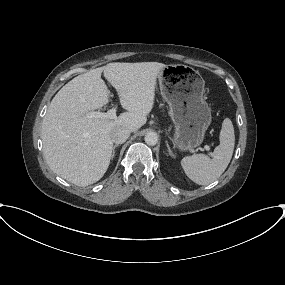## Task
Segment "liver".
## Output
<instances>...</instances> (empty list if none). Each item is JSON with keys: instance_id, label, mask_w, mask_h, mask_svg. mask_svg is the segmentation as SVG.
Returning <instances> with one entry per match:
<instances>
[{"instance_id": "6515ba94", "label": "liver", "mask_w": 285, "mask_h": 285, "mask_svg": "<svg viewBox=\"0 0 285 285\" xmlns=\"http://www.w3.org/2000/svg\"><path fill=\"white\" fill-rule=\"evenodd\" d=\"M164 67L158 62H114L63 86L52 99L41 128L43 152L50 168L77 186L100 180L112 156L111 131L123 127L135 132L146 123L154 105L156 80ZM102 73L127 110L114 120L86 117L109 102L110 92Z\"/></svg>"}]
</instances>
